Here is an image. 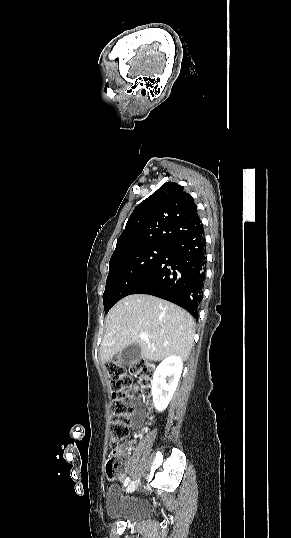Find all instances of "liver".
Here are the masks:
<instances>
[{
    "label": "liver",
    "mask_w": 291,
    "mask_h": 538,
    "mask_svg": "<svg viewBox=\"0 0 291 538\" xmlns=\"http://www.w3.org/2000/svg\"><path fill=\"white\" fill-rule=\"evenodd\" d=\"M194 325L193 317L175 304L146 294L127 296L106 316L101 361L105 363L135 343L143 359L160 361L178 355L186 360L193 345ZM140 333H146L148 340Z\"/></svg>",
    "instance_id": "1"
}]
</instances>
